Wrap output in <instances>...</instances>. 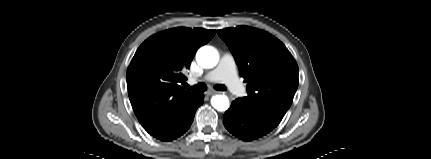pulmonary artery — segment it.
I'll return each mask as SVG.
<instances>
[{
	"mask_svg": "<svg viewBox=\"0 0 431 159\" xmlns=\"http://www.w3.org/2000/svg\"><path fill=\"white\" fill-rule=\"evenodd\" d=\"M202 80L208 82H222L237 96H243L245 94V88L237 77L234 57L229 53L223 54L217 67L204 75Z\"/></svg>",
	"mask_w": 431,
	"mask_h": 159,
	"instance_id": "pulmonary-artery-1",
	"label": "pulmonary artery"
}]
</instances>
